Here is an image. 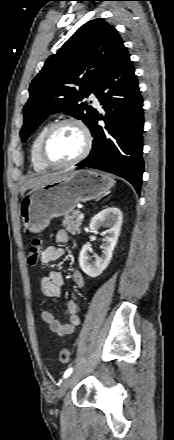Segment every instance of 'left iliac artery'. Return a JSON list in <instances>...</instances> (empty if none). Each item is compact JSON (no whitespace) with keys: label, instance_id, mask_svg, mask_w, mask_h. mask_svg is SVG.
<instances>
[{"label":"left iliac artery","instance_id":"left-iliac-artery-1","mask_svg":"<svg viewBox=\"0 0 174 440\" xmlns=\"http://www.w3.org/2000/svg\"><path fill=\"white\" fill-rule=\"evenodd\" d=\"M72 371H73V368H72V367L68 368V369L65 371L63 377H64V378L69 377V376L71 375Z\"/></svg>","mask_w":174,"mask_h":440}]
</instances>
